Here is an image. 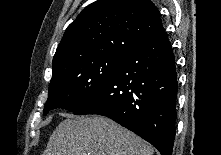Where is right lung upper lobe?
Here are the masks:
<instances>
[{
	"instance_id": "1",
	"label": "right lung upper lobe",
	"mask_w": 221,
	"mask_h": 155,
	"mask_svg": "<svg viewBox=\"0 0 221 155\" xmlns=\"http://www.w3.org/2000/svg\"><path fill=\"white\" fill-rule=\"evenodd\" d=\"M164 31L150 0H98L68 26L53 58V74L66 65L106 54H127Z\"/></svg>"
}]
</instances>
